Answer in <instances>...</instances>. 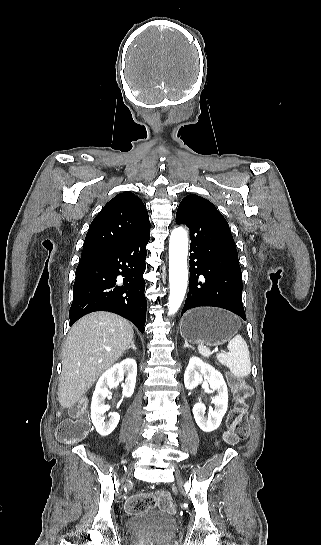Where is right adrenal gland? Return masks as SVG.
Wrapping results in <instances>:
<instances>
[{
	"label": "right adrenal gland",
	"instance_id": "1",
	"mask_svg": "<svg viewBox=\"0 0 321 545\" xmlns=\"http://www.w3.org/2000/svg\"><path fill=\"white\" fill-rule=\"evenodd\" d=\"M129 349H133V351H137L135 345H134V341H132L130 347H128V349H126V351H129Z\"/></svg>",
	"mask_w": 321,
	"mask_h": 545
}]
</instances>
